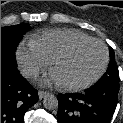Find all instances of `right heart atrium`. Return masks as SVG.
<instances>
[{
  "mask_svg": "<svg viewBox=\"0 0 123 123\" xmlns=\"http://www.w3.org/2000/svg\"><path fill=\"white\" fill-rule=\"evenodd\" d=\"M16 58L23 75L29 79L36 78L50 65V61L30 44L20 45Z\"/></svg>",
  "mask_w": 123,
  "mask_h": 123,
  "instance_id": "d8ad5b80",
  "label": "right heart atrium"
}]
</instances>
